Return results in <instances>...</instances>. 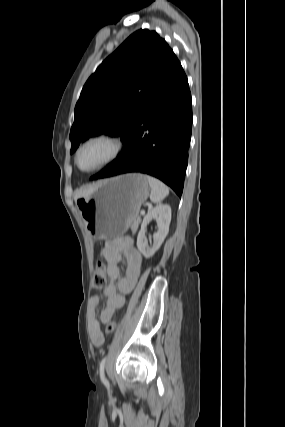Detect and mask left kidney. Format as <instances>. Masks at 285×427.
I'll return each instance as SVG.
<instances>
[{
    "mask_svg": "<svg viewBox=\"0 0 285 427\" xmlns=\"http://www.w3.org/2000/svg\"><path fill=\"white\" fill-rule=\"evenodd\" d=\"M152 219H156L158 231L153 235V245L148 247L145 231ZM171 222V207L169 205H159L148 212L141 224V230L137 237V248L145 258H150L160 248L169 232Z\"/></svg>",
    "mask_w": 285,
    "mask_h": 427,
    "instance_id": "left-kidney-1",
    "label": "left kidney"
}]
</instances>
